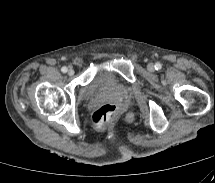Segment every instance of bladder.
Masks as SVG:
<instances>
[{
    "mask_svg": "<svg viewBox=\"0 0 215 183\" xmlns=\"http://www.w3.org/2000/svg\"><path fill=\"white\" fill-rule=\"evenodd\" d=\"M113 75L108 70H101L96 73L89 85L87 86L85 99H90L98 94L101 90L111 84Z\"/></svg>",
    "mask_w": 215,
    "mask_h": 183,
    "instance_id": "obj_1",
    "label": "bladder"
}]
</instances>
